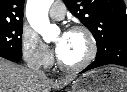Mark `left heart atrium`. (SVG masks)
I'll return each instance as SVG.
<instances>
[{
	"label": "left heart atrium",
	"instance_id": "obj_1",
	"mask_svg": "<svg viewBox=\"0 0 127 92\" xmlns=\"http://www.w3.org/2000/svg\"><path fill=\"white\" fill-rule=\"evenodd\" d=\"M67 33L62 34L61 39L55 44V51L58 56L62 53L65 41H66Z\"/></svg>",
	"mask_w": 127,
	"mask_h": 92
}]
</instances>
